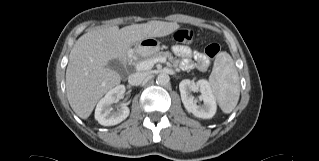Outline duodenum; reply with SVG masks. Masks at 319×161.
<instances>
[{
  "label": "duodenum",
  "instance_id": "obj_1",
  "mask_svg": "<svg viewBox=\"0 0 319 161\" xmlns=\"http://www.w3.org/2000/svg\"><path fill=\"white\" fill-rule=\"evenodd\" d=\"M123 60H124V61H126V60H127V56H126V55L123 57Z\"/></svg>",
  "mask_w": 319,
  "mask_h": 161
}]
</instances>
